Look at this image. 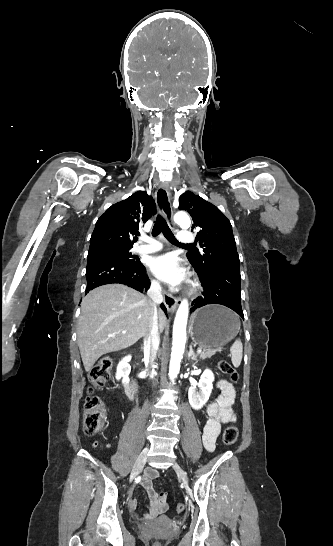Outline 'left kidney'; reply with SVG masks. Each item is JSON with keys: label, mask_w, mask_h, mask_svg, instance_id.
I'll return each instance as SVG.
<instances>
[{"label": "left kidney", "mask_w": 333, "mask_h": 546, "mask_svg": "<svg viewBox=\"0 0 333 546\" xmlns=\"http://www.w3.org/2000/svg\"><path fill=\"white\" fill-rule=\"evenodd\" d=\"M214 375L210 369H206L200 377L197 387L200 389L197 391L196 386H191L188 392V398L191 406L195 410L201 409L208 401L212 388H213Z\"/></svg>", "instance_id": "obj_1"}]
</instances>
